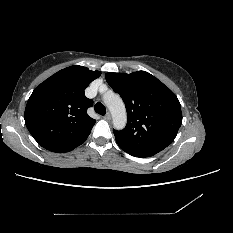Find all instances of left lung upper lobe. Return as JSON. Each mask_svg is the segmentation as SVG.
Here are the masks:
<instances>
[{"label": "left lung upper lobe", "mask_w": 233, "mask_h": 233, "mask_svg": "<svg viewBox=\"0 0 233 233\" xmlns=\"http://www.w3.org/2000/svg\"><path fill=\"white\" fill-rule=\"evenodd\" d=\"M105 78L127 110L125 129L113 130L124 151L150 157L173 142L182 124V112L178 98L168 87L146 71L106 73Z\"/></svg>", "instance_id": "5c2ea615"}]
</instances>
